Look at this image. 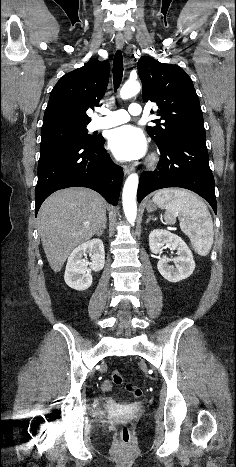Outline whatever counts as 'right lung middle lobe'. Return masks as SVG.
<instances>
[{
	"label": "right lung middle lobe",
	"instance_id": "right-lung-middle-lobe-1",
	"mask_svg": "<svg viewBox=\"0 0 236 467\" xmlns=\"http://www.w3.org/2000/svg\"><path fill=\"white\" fill-rule=\"evenodd\" d=\"M40 146L64 140H76L83 143H93L98 137L89 135L86 126H64L41 130Z\"/></svg>",
	"mask_w": 236,
	"mask_h": 467
}]
</instances>
